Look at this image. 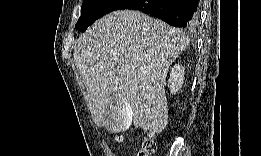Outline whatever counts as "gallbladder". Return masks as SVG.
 I'll use <instances>...</instances> for the list:
<instances>
[{"instance_id":"obj_1","label":"gallbladder","mask_w":261,"mask_h":156,"mask_svg":"<svg viewBox=\"0 0 261 156\" xmlns=\"http://www.w3.org/2000/svg\"><path fill=\"white\" fill-rule=\"evenodd\" d=\"M121 94H115L114 98L110 99H122ZM105 105L108 109L105 112V127L114 130V132H121L129 129L132 123V107L126 101H110Z\"/></svg>"}]
</instances>
